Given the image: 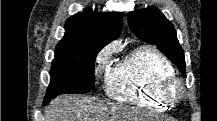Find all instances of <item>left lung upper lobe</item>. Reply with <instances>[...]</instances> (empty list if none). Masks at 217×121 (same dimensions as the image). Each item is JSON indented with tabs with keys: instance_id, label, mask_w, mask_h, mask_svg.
<instances>
[{
	"instance_id": "obj_1",
	"label": "left lung upper lobe",
	"mask_w": 217,
	"mask_h": 121,
	"mask_svg": "<svg viewBox=\"0 0 217 121\" xmlns=\"http://www.w3.org/2000/svg\"><path fill=\"white\" fill-rule=\"evenodd\" d=\"M131 31L142 41L154 44L185 75V58L173 24L156 7L135 10L128 15Z\"/></svg>"
}]
</instances>
